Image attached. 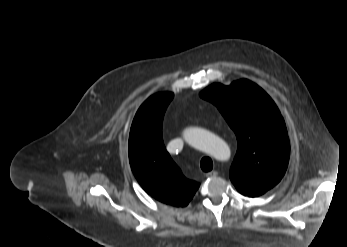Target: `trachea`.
<instances>
[{
    "mask_svg": "<svg viewBox=\"0 0 347 247\" xmlns=\"http://www.w3.org/2000/svg\"><path fill=\"white\" fill-rule=\"evenodd\" d=\"M200 166L204 172H209L213 168V162H212L211 158L203 157L201 162H200Z\"/></svg>",
    "mask_w": 347,
    "mask_h": 247,
    "instance_id": "trachea-1",
    "label": "trachea"
}]
</instances>
